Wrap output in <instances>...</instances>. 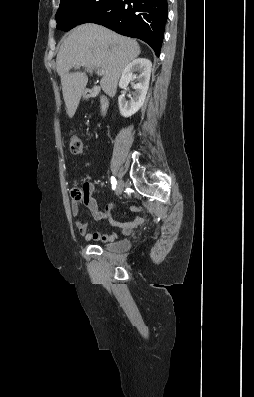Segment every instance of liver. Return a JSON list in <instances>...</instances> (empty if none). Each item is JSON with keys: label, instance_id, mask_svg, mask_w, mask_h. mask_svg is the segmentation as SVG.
<instances>
[{"label": "liver", "instance_id": "1", "mask_svg": "<svg viewBox=\"0 0 254 397\" xmlns=\"http://www.w3.org/2000/svg\"><path fill=\"white\" fill-rule=\"evenodd\" d=\"M139 44L128 37L96 24L74 28L63 40L56 58V70L61 79L67 115L72 118L87 85L85 72L70 73L73 67L104 70L100 81L102 90L114 97L124 68L140 55Z\"/></svg>", "mask_w": 254, "mask_h": 397}]
</instances>
